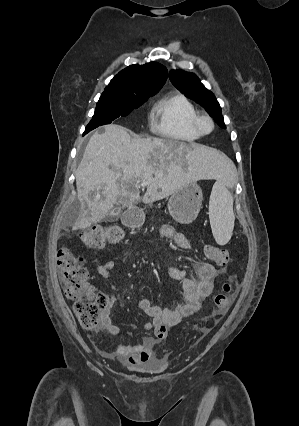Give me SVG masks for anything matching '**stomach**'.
Masks as SVG:
<instances>
[{"instance_id":"0dacf381","label":"stomach","mask_w":299,"mask_h":426,"mask_svg":"<svg viewBox=\"0 0 299 426\" xmlns=\"http://www.w3.org/2000/svg\"><path fill=\"white\" fill-rule=\"evenodd\" d=\"M202 201L201 188L190 182L174 191L168 201V210L176 222L189 224L197 218Z\"/></svg>"}]
</instances>
